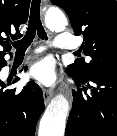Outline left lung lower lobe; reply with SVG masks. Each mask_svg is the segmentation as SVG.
I'll return each instance as SVG.
<instances>
[{"label": "left lung lower lobe", "mask_w": 117, "mask_h": 136, "mask_svg": "<svg viewBox=\"0 0 117 136\" xmlns=\"http://www.w3.org/2000/svg\"><path fill=\"white\" fill-rule=\"evenodd\" d=\"M67 73L81 89L74 92L65 136H117V67L97 69L85 80Z\"/></svg>", "instance_id": "obj_1"}]
</instances>
